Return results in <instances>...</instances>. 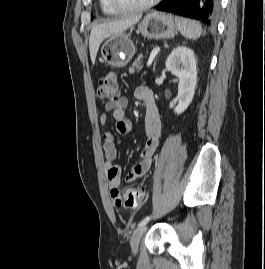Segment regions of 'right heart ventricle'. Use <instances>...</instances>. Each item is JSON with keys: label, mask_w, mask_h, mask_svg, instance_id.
Listing matches in <instances>:
<instances>
[{"label": "right heart ventricle", "mask_w": 265, "mask_h": 269, "mask_svg": "<svg viewBox=\"0 0 265 269\" xmlns=\"http://www.w3.org/2000/svg\"><path fill=\"white\" fill-rule=\"evenodd\" d=\"M101 11L107 15H117L119 12L111 5L110 0H99Z\"/></svg>", "instance_id": "obj_1"}]
</instances>
